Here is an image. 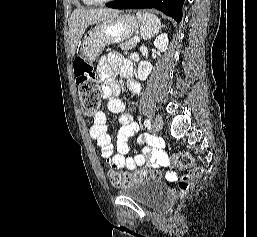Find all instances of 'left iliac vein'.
Segmentation results:
<instances>
[{
  "mask_svg": "<svg viewBox=\"0 0 257 237\" xmlns=\"http://www.w3.org/2000/svg\"><path fill=\"white\" fill-rule=\"evenodd\" d=\"M152 127L154 129V131L158 132L162 129L163 127V121L161 118L157 117L154 119Z\"/></svg>",
  "mask_w": 257,
  "mask_h": 237,
  "instance_id": "left-iliac-vein-1",
  "label": "left iliac vein"
}]
</instances>
